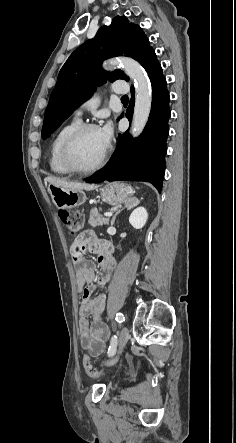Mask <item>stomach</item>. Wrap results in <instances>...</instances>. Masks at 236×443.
Returning <instances> with one entry per match:
<instances>
[{
  "mask_svg": "<svg viewBox=\"0 0 236 443\" xmlns=\"http://www.w3.org/2000/svg\"><path fill=\"white\" fill-rule=\"evenodd\" d=\"M52 201L58 209H72L84 204L86 195L83 190H72L50 184L48 186ZM131 186L124 183L108 184L101 189L104 202L115 206L125 203L133 195Z\"/></svg>",
  "mask_w": 236,
  "mask_h": 443,
  "instance_id": "1",
  "label": "stomach"
}]
</instances>
